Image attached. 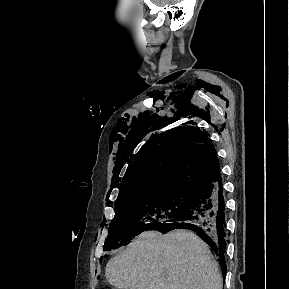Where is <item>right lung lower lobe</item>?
I'll use <instances>...</instances> for the list:
<instances>
[{
    "mask_svg": "<svg viewBox=\"0 0 289 289\" xmlns=\"http://www.w3.org/2000/svg\"><path fill=\"white\" fill-rule=\"evenodd\" d=\"M225 202L221 177L195 192V199L185 214L172 218L157 229L166 233L174 229H189L198 234L218 255L219 263L225 276L226 232H225Z\"/></svg>",
    "mask_w": 289,
    "mask_h": 289,
    "instance_id": "right-lung-lower-lobe-1",
    "label": "right lung lower lobe"
}]
</instances>
